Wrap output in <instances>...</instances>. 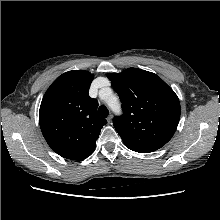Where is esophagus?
Wrapping results in <instances>:
<instances>
[{
    "label": "esophagus",
    "instance_id": "obj_1",
    "mask_svg": "<svg viewBox=\"0 0 220 220\" xmlns=\"http://www.w3.org/2000/svg\"><path fill=\"white\" fill-rule=\"evenodd\" d=\"M112 117H113L112 115H109V116L107 117V123H108V124L111 123Z\"/></svg>",
    "mask_w": 220,
    "mask_h": 220
}]
</instances>
